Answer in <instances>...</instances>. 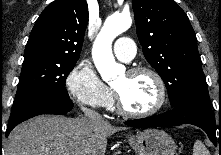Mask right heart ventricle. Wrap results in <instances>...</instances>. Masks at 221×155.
<instances>
[{"mask_svg":"<svg viewBox=\"0 0 221 155\" xmlns=\"http://www.w3.org/2000/svg\"><path fill=\"white\" fill-rule=\"evenodd\" d=\"M107 106L112 107V98H111V100H110V102L108 103Z\"/></svg>","mask_w":221,"mask_h":155,"instance_id":"1","label":"right heart ventricle"}]
</instances>
